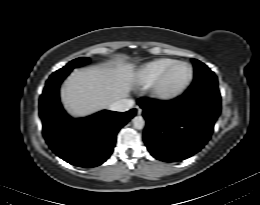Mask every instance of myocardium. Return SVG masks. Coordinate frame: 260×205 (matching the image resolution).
I'll use <instances>...</instances> for the list:
<instances>
[{
	"label": "myocardium",
	"instance_id": "1",
	"mask_svg": "<svg viewBox=\"0 0 260 205\" xmlns=\"http://www.w3.org/2000/svg\"><path fill=\"white\" fill-rule=\"evenodd\" d=\"M178 65H185L189 68V77L187 81L177 89L167 90L165 88V81L170 74V72ZM194 78V70L190 63L185 61H176L172 65H170L161 75L160 77L151 85L150 93L151 97L158 102H170L181 95H183L188 88L191 86Z\"/></svg>",
	"mask_w": 260,
	"mask_h": 205
}]
</instances>
